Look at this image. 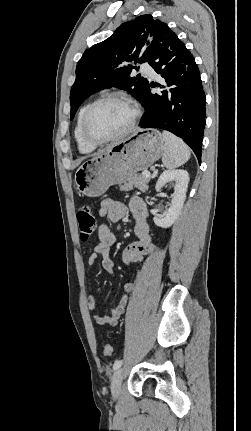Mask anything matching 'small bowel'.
Returning <instances> with one entry per match:
<instances>
[{
    "mask_svg": "<svg viewBox=\"0 0 251 431\" xmlns=\"http://www.w3.org/2000/svg\"><path fill=\"white\" fill-rule=\"evenodd\" d=\"M129 209L135 219V234L138 238L137 241L129 244L122 254V260L128 267L142 261L145 256L153 253L156 249L152 238L150 236L149 225L147 223L148 211L144 201L138 197L131 199ZM128 212L125 204L112 199H104L100 203L99 215L106 217L112 222L122 220ZM98 243L94 246L93 252L89 256L88 264L91 266L95 263L97 258H101V265L110 275L115 276L114 263L109 256L110 248L116 243V236L108 228L105 223H101L98 227ZM127 292H131L134 288L132 282L125 283L124 286ZM128 295H123L118 304L113 307L109 314L101 315L94 314L93 320L98 325L102 326H115L119 318L125 312L128 304ZM87 305L89 310L93 311L96 308L95 299L92 295L87 297Z\"/></svg>",
    "mask_w": 251,
    "mask_h": 431,
    "instance_id": "small-bowel-1",
    "label": "small bowel"
}]
</instances>
